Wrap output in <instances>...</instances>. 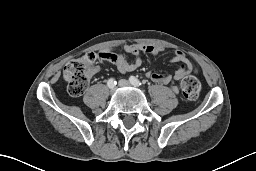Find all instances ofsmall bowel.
I'll list each match as a JSON object with an SVG mask.
<instances>
[{
	"mask_svg": "<svg viewBox=\"0 0 256 171\" xmlns=\"http://www.w3.org/2000/svg\"><path fill=\"white\" fill-rule=\"evenodd\" d=\"M163 48L144 45V44H126L123 46L122 51L118 54L112 53L109 49L101 51L100 58L103 61L113 63L121 73H129L136 70L142 63L139 54L145 53L147 56H155ZM133 54L137 58L133 62H128L126 55ZM171 62L179 64V68L172 74H161L157 72H149L148 78L161 85H170L173 93L179 92L178 82L188 73L195 71L194 65L191 60L179 50L174 52Z\"/></svg>",
	"mask_w": 256,
	"mask_h": 171,
	"instance_id": "small-bowel-1",
	"label": "small bowel"
}]
</instances>
